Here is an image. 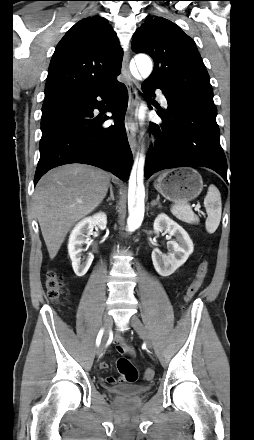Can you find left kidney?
Returning <instances> with one entry per match:
<instances>
[{"label": "left kidney", "instance_id": "left-kidney-1", "mask_svg": "<svg viewBox=\"0 0 254 440\" xmlns=\"http://www.w3.org/2000/svg\"><path fill=\"white\" fill-rule=\"evenodd\" d=\"M153 228L156 234L165 231L176 238V240L168 242L172 250L168 256L162 255L158 249L152 252V262L155 270L159 275L166 277L173 274L186 262L193 252V242L188 233L164 213L156 217Z\"/></svg>", "mask_w": 254, "mask_h": 440}]
</instances>
